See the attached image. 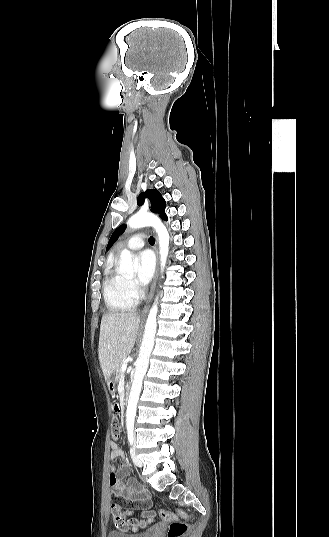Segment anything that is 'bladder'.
Returning a JSON list of instances; mask_svg holds the SVG:
<instances>
[{
  "label": "bladder",
  "instance_id": "31cf9c89",
  "mask_svg": "<svg viewBox=\"0 0 329 537\" xmlns=\"http://www.w3.org/2000/svg\"><path fill=\"white\" fill-rule=\"evenodd\" d=\"M157 529H152L150 531L139 533V534H128L120 531H110L107 537H154Z\"/></svg>",
  "mask_w": 329,
  "mask_h": 537
}]
</instances>
